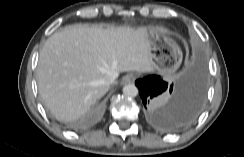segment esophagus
<instances>
[{
  "label": "esophagus",
  "instance_id": "1",
  "mask_svg": "<svg viewBox=\"0 0 244 157\" xmlns=\"http://www.w3.org/2000/svg\"><path fill=\"white\" fill-rule=\"evenodd\" d=\"M136 79V76L134 74H128L124 76L121 80V84H130L133 83Z\"/></svg>",
  "mask_w": 244,
  "mask_h": 157
}]
</instances>
